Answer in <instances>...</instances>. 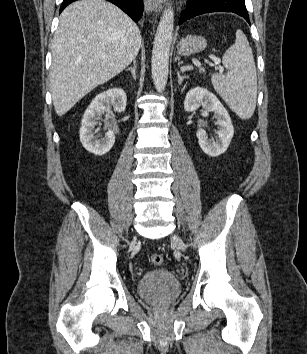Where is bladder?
I'll return each mask as SVG.
<instances>
[{
    "label": "bladder",
    "instance_id": "obj_1",
    "mask_svg": "<svg viewBox=\"0 0 307 354\" xmlns=\"http://www.w3.org/2000/svg\"><path fill=\"white\" fill-rule=\"evenodd\" d=\"M182 286L175 274L165 268L153 269L143 274L137 282V292L145 301L166 305L181 293Z\"/></svg>",
    "mask_w": 307,
    "mask_h": 354
}]
</instances>
